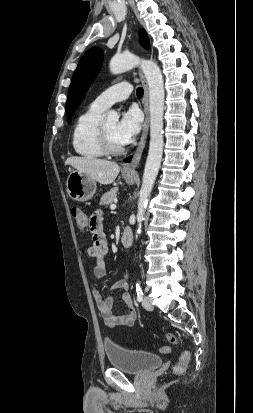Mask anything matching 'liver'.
<instances>
[{
    "label": "liver",
    "instance_id": "obj_1",
    "mask_svg": "<svg viewBox=\"0 0 253 413\" xmlns=\"http://www.w3.org/2000/svg\"><path fill=\"white\" fill-rule=\"evenodd\" d=\"M65 165H70L78 171L86 173L91 179L101 184H111L120 171V166L111 161L94 157L72 156L66 159Z\"/></svg>",
    "mask_w": 253,
    "mask_h": 413
}]
</instances>
